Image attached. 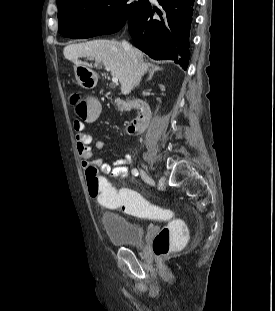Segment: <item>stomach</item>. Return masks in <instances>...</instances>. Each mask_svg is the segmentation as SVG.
<instances>
[{"instance_id":"obj_1","label":"stomach","mask_w":275,"mask_h":311,"mask_svg":"<svg viewBox=\"0 0 275 311\" xmlns=\"http://www.w3.org/2000/svg\"><path fill=\"white\" fill-rule=\"evenodd\" d=\"M77 83L84 88H93L97 84V75L90 68L79 65L74 68Z\"/></svg>"}]
</instances>
